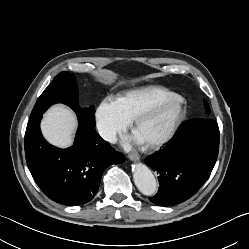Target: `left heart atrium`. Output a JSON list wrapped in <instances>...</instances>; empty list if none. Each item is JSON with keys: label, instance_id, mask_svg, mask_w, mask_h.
Here are the masks:
<instances>
[{"label": "left heart atrium", "instance_id": "left-heart-atrium-1", "mask_svg": "<svg viewBox=\"0 0 249 249\" xmlns=\"http://www.w3.org/2000/svg\"><path fill=\"white\" fill-rule=\"evenodd\" d=\"M129 143L136 144V145H142L145 142L142 140V138L135 132L131 137H129Z\"/></svg>", "mask_w": 249, "mask_h": 249}]
</instances>
